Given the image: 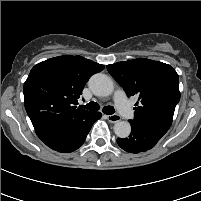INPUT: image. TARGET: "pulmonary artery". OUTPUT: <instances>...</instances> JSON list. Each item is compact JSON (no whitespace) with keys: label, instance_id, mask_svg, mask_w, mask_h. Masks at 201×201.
I'll list each match as a JSON object with an SVG mask.
<instances>
[{"label":"pulmonary artery","instance_id":"1","mask_svg":"<svg viewBox=\"0 0 201 201\" xmlns=\"http://www.w3.org/2000/svg\"><path fill=\"white\" fill-rule=\"evenodd\" d=\"M115 103L119 113L126 119H133L134 111L126 97V94L123 90H117L115 92Z\"/></svg>","mask_w":201,"mask_h":201}]
</instances>
